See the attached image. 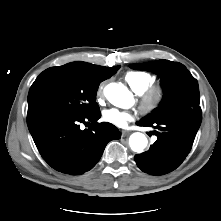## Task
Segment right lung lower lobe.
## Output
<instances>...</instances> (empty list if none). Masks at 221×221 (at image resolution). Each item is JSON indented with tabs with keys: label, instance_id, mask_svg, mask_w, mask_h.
<instances>
[{
	"label": "right lung lower lobe",
	"instance_id": "right-lung-lower-lobe-1",
	"mask_svg": "<svg viewBox=\"0 0 221 221\" xmlns=\"http://www.w3.org/2000/svg\"><path fill=\"white\" fill-rule=\"evenodd\" d=\"M100 111L77 115L65 111L28 112L27 124L43 159L55 170L80 175L95 166L108 142L121 137L112 124L97 120ZM81 123L90 128L81 130Z\"/></svg>",
	"mask_w": 221,
	"mask_h": 221
}]
</instances>
